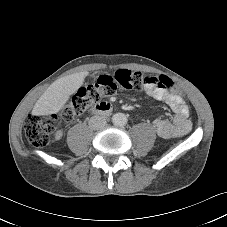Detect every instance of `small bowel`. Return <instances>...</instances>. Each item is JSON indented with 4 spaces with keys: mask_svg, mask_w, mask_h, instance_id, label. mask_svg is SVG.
<instances>
[{
    "mask_svg": "<svg viewBox=\"0 0 227 227\" xmlns=\"http://www.w3.org/2000/svg\"><path fill=\"white\" fill-rule=\"evenodd\" d=\"M144 91L153 99L167 104L174 112L172 121L167 119L154 120L153 127L158 136L170 139L183 136L190 131L192 124L189 119V107L180 95L170 93L165 87L159 85H148ZM55 137L60 139L62 132L58 131Z\"/></svg>",
    "mask_w": 227,
    "mask_h": 227,
    "instance_id": "small-bowel-1",
    "label": "small bowel"
}]
</instances>
